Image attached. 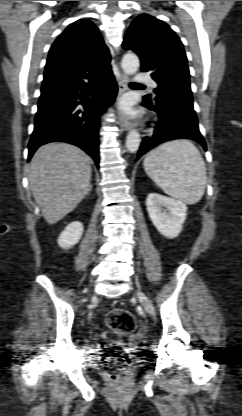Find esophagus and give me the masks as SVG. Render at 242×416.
<instances>
[{
  "label": "esophagus",
  "mask_w": 242,
  "mask_h": 416,
  "mask_svg": "<svg viewBox=\"0 0 242 416\" xmlns=\"http://www.w3.org/2000/svg\"><path fill=\"white\" fill-rule=\"evenodd\" d=\"M129 82V77L126 74H121L118 85V98L125 92L127 89V84ZM119 122L123 130L128 131L132 128L131 122L122 114L119 116Z\"/></svg>",
  "instance_id": "esophagus-1"
}]
</instances>
